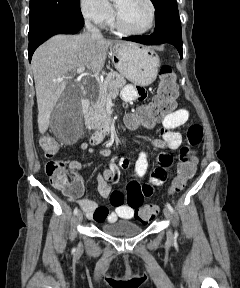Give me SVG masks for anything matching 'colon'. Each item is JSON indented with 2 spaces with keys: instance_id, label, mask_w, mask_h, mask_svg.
Listing matches in <instances>:
<instances>
[{
  "instance_id": "1",
  "label": "colon",
  "mask_w": 240,
  "mask_h": 288,
  "mask_svg": "<svg viewBox=\"0 0 240 288\" xmlns=\"http://www.w3.org/2000/svg\"><path fill=\"white\" fill-rule=\"evenodd\" d=\"M177 96L175 73L170 66L164 65L159 71V85L155 96L148 104L141 106L135 114L128 116L127 123L130 126H153L174 110ZM40 144L49 158L45 171L51 184L66 195L80 194L83 190L82 182L66 169L63 161L53 158L59 149L57 141L51 136H43ZM196 165L197 158L194 152L188 146H184L180 151L177 176L170 186L171 193L184 189L186 183L193 177ZM126 200L128 205L134 208L135 218L140 222H148L158 214L156 205H143V198L138 191H129Z\"/></svg>"
}]
</instances>
